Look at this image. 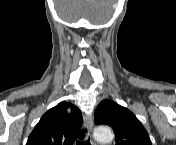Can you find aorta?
Listing matches in <instances>:
<instances>
[{
	"instance_id": "1",
	"label": "aorta",
	"mask_w": 176,
	"mask_h": 145,
	"mask_svg": "<svg viewBox=\"0 0 176 145\" xmlns=\"http://www.w3.org/2000/svg\"><path fill=\"white\" fill-rule=\"evenodd\" d=\"M94 138L101 143H109L114 139V134L109 127L98 126L94 129Z\"/></svg>"
}]
</instances>
